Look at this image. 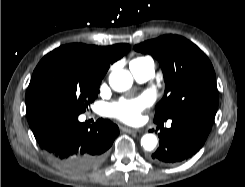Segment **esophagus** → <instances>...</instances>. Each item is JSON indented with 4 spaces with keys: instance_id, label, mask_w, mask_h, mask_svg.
Listing matches in <instances>:
<instances>
[{
    "instance_id": "obj_1",
    "label": "esophagus",
    "mask_w": 245,
    "mask_h": 187,
    "mask_svg": "<svg viewBox=\"0 0 245 187\" xmlns=\"http://www.w3.org/2000/svg\"><path fill=\"white\" fill-rule=\"evenodd\" d=\"M122 130L128 133H138L141 131L140 129H132V128H127V127H123Z\"/></svg>"
}]
</instances>
